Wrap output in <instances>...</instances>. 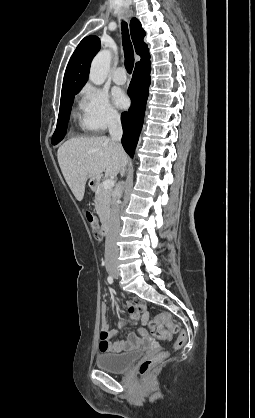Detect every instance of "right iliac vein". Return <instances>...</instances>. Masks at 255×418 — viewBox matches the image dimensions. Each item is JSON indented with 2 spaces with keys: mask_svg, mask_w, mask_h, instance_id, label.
<instances>
[{
  "mask_svg": "<svg viewBox=\"0 0 255 418\" xmlns=\"http://www.w3.org/2000/svg\"><path fill=\"white\" fill-rule=\"evenodd\" d=\"M108 272H109V274H110L111 276H113V277H116V276H117V274H118L117 270H116L114 267H109V268H108Z\"/></svg>",
  "mask_w": 255,
  "mask_h": 418,
  "instance_id": "1",
  "label": "right iliac vein"
}]
</instances>
